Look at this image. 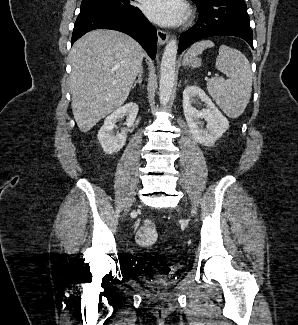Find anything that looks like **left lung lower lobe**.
Returning a JSON list of instances; mask_svg holds the SVG:
<instances>
[{"label": "left lung lower lobe", "instance_id": "obj_1", "mask_svg": "<svg viewBox=\"0 0 298 325\" xmlns=\"http://www.w3.org/2000/svg\"><path fill=\"white\" fill-rule=\"evenodd\" d=\"M200 15L197 23L179 38L178 53L201 39L230 35L246 40L253 48V33L244 0H206L197 4Z\"/></svg>", "mask_w": 298, "mask_h": 325}]
</instances>
